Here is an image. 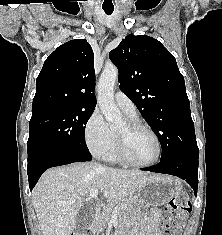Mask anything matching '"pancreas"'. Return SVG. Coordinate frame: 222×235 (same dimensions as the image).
<instances>
[{"label":"pancreas","instance_id":"pancreas-1","mask_svg":"<svg viewBox=\"0 0 222 235\" xmlns=\"http://www.w3.org/2000/svg\"><path fill=\"white\" fill-rule=\"evenodd\" d=\"M134 205L132 199L111 202L104 213L93 222L92 229L97 233L103 232L113 218V210H116L117 216H132L135 213Z\"/></svg>","mask_w":222,"mask_h":235}]
</instances>
